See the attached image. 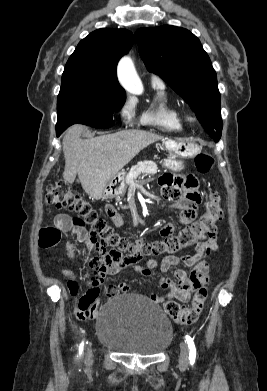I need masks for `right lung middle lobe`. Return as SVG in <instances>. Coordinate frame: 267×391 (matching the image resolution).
<instances>
[{
    "instance_id": "1",
    "label": "right lung middle lobe",
    "mask_w": 267,
    "mask_h": 391,
    "mask_svg": "<svg viewBox=\"0 0 267 391\" xmlns=\"http://www.w3.org/2000/svg\"><path fill=\"white\" fill-rule=\"evenodd\" d=\"M125 91L93 77L62 79L57 99L56 131L81 123L95 128L113 126V113L125 103Z\"/></svg>"
}]
</instances>
